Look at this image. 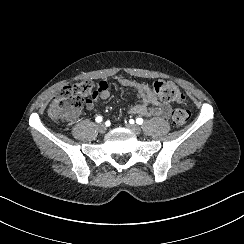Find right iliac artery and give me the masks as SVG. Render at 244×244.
I'll list each match as a JSON object with an SVG mask.
<instances>
[{
  "mask_svg": "<svg viewBox=\"0 0 244 244\" xmlns=\"http://www.w3.org/2000/svg\"><path fill=\"white\" fill-rule=\"evenodd\" d=\"M95 120H96V122H98V123H99V122H101V121H102V117H101V116H97Z\"/></svg>",
  "mask_w": 244,
  "mask_h": 244,
  "instance_id": "82829eb1",
  "label": "right iliac artery"
}]
</instances>
